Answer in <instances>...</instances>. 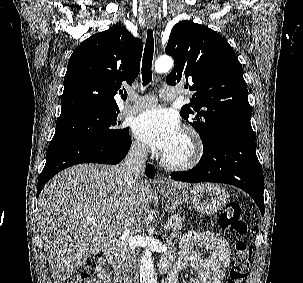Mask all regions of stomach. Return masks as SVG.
I'll return each mask as SVG.
<instances>
[{"label":"stomach","instance_id":"stomach-1","mask_svg":"<svg viewBox=\"0 0 303 283\" xmlns=\"http://www.w3.org/2000/svg\"><path fill=\"white\" fill-rule=\"evenodd\" d=\"M160 192L169 199L167 204L169 208L175 209L177 207L176 201L183 198L197 212L205 215L218 212L227 202L226 192L214 184L187 186L181 190L160 187Z\"/></svg>","mask_w":303,"mask_h":283}]
</instances>
